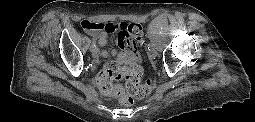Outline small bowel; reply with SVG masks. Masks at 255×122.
<instances>
[{"label": "small bowel", "mask_w": 255, "mask_h": 122, "mask_svg": "<svg viewBox=\"0 0 255 122\" xmlns=\"http://www.w3.org/2000/svg\"><path fill=\"white\" fill-rule=\"evenodd\" d=\"M90 35L95 38L101 47H105L107 44L108 33L97 32L90 33ZM116 44L120 50L113 49L111 54L116 57V62L119 64L127 65H137L138 64V45L129 37L124 36L119 33L116 38ZM109 55L108 51H102V57H107ZM101 90V89H100ZM119 91L122 92V88H119ZM104 93V92H103ZM106 95L117 97V95L107 94Z\"/></svg>", "instance_id": "c3829d8e"}]
</instances>
